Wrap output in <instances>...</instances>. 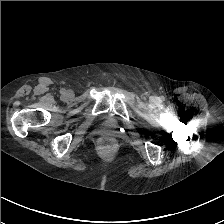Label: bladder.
I'll return each mask as SVG.
<instances>
[{
	"label": "bladder",
	"mask_w": 224,
	"mask_h": 224,
	"mask_svg": "<svg viewBox=\"0 0 224 224\" xmlns=\"http://www.w3.org/2000/svg\"><path fill=\"white\" fill-rule=\"evenodd\" d=\"M103 123L107 127H115L116 126V120L111 116H105L103 118Z\"/></svg>",
	"instance_id": "bladder-1"
}]
</instances>
